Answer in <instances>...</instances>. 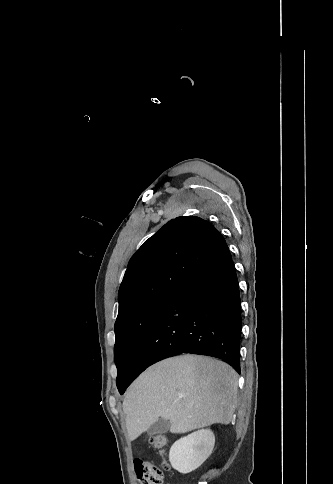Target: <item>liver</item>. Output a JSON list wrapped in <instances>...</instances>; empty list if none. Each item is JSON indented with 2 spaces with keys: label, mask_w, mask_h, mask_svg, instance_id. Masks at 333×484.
Masks as SVG:
<instances>
[{
  "label": "liver",
  "mask_w": 333,
  "mask_h": 484,
  "mask_svg": "<svg viewBox=\"0 0 333 484\" xmlns=\"http://www.w3.org/2000/svg\"><path fill=\"white\" fill-rule=\"evenodd\" d=\"M237 374L209 357L168 358L145 370L123 401L129 440L161 419L171 433H186L215 423L229 424L237 404Z\"/></svg>",
  "instance_id": "obj_1"
}]
</instances>
